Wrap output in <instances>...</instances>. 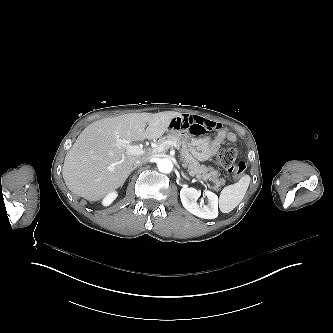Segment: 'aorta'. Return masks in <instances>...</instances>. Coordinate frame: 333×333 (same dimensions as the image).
Segmentation results:
<instances>
[{
    "label": "aorta",
    "instance_id": "obj_1",
    "mask_svg": "<svg viewBox=\"0 0 333 333\" xmlns=\"http://www.w3.org/2000/svg\"><path fill=\"white\" fill-rule=\"evenodd\" d=\"M158 169L162 173H170L173 169V163L170 159L163 158L157 163Z\"/></svg>",
    "mask_w": 333,
    "mask_h": 333
}]
</instances>
